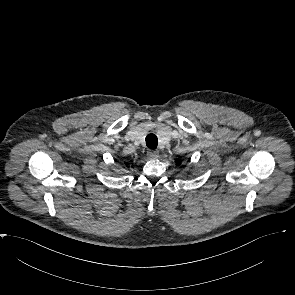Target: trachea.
Listing matches in <instances>:
<instances>
[{
  "label": "trachea",
  "instance_id": "3493384b",
  "mask_svg": "<svg viewBox=\"0 0 295 295\" xmlns=\"http://www.w3.org/2000/svg\"><path fill=\"white\" fill-rule=\"evenodd\" d=\"M146 145L150 149H156V147L158 145L157 136L155 134H148L147 137H146Z\"/></svg>",
  "mask_w": 295,
  "mask_h": 295
}]
</instances>
